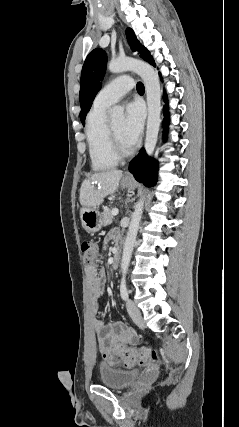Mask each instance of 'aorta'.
<instances>
[{"label":"aorta","instance_id":"aorta-1","mask_svg":"<svg viewBox=\"0 0 239 427\" xmlns=\"http://www.w3.org/2000/svg\"><path fill=\"white\" fill-rule=\"evenodd\" d=\"M108 69L112 73L133 71L138 74L144 82L148 105L145 150L146 153L151 156L157 143L160 127L161 91L158 75L149 64L132 58L111 61L109 63ZM109 113L113 121H120L124 118V109L121 106L112 107L109 110ZM143 207L144 200L141 198L135 205L124 243L121 260V271L123 275L127 273L130 264L133 247L136 242V236L143 213Z\"/></svg>","mask_w":239,"mask_h":427}]
</instances>
